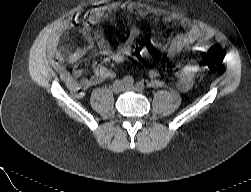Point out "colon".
<instances>
[{"label":"colon","mask_w":251,"mask_h":192,"mask_svg":"<svg viewBox=\"0 0 251 192\" xmlns=\"http://www.w3.org/2000/svg\"><path fill=\"white\" fill-rule=\"evenodd\" d=\"M146 51H147V46L140 43H135L131 47V53H133V55L135 56H141ZM222 64H223L222 55L215 51H209L202 64V68L206 71L217 72L222 68Z\"/></svg>","instance_id":"5ec220e1"}]
</instances>
